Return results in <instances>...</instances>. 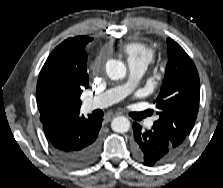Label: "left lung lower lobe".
Masks as SVG:
<instances>
[{
  "instance_id": "obj_1",
  "label": "left lung lower lobe",
  "mask_w": 223,
  "mask_h": 188,
  "mask_svg": "<svg viewBox=\"0 0 223 188\" xmlns=\"http://www.w3.org/2000/svg\"><path fill=\"white\" fill-rule=\"evenodd\" d=\"M134 156L146 166L162 165L174 159L180 151V146L170 139L164 130L153 125L148 131L133 123Z\"/></svg>"
}]
</instances>
